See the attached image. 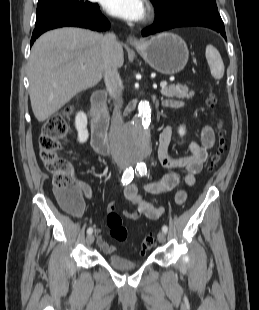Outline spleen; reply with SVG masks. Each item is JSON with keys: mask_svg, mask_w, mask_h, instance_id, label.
Here are the masks:
<instances>
[{"mask_svg": "<svg viewBox=\"0 0 259 310\" xmlns=\"http://www.w3.org/2000/svg\"><path fill=\"white\" fill-rule=\"evenodd\" d=\"M205 55L212 77L221 79L224 75V63L219 51L213 45L209 44L206 46Z\"/></svg>", "mask_w": 259, "mask_h": 310, "instance_id": "spleen-1", "label": "spleen"}]
</instances>
